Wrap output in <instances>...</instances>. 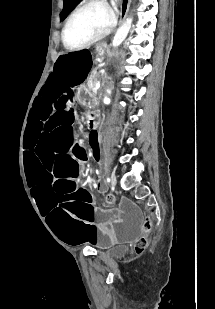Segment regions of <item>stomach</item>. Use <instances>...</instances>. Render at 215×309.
Returning <instances> with one entry per match:
<instances>
[{"instance_id": "obj_1", "label": "stomach", "mask_w": 215, "mask_h": 309, "mask_svg": "<svg viewBox=\"0 0 215 309\" xmlns=\"http://www.w3.org/2000/svg\"><path fill=\"white\" fill-rule=\"evenodd\" d=\"M106 51H107V44L106 43H100V44L97 45L96 52L99 56H103L106 53ZM81 95H82L83 99H85L87 101L90 100L91 98L95 97V94L88 87L82 89Z\"/></svg>"}]
</instances>
